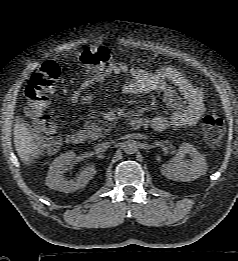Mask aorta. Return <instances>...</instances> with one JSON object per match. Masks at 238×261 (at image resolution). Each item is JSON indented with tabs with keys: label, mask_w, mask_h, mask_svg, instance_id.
Returning <instances> with one entry per match:
<instances>
[{
	"label": "aorta",
	"mask_w": 238,
	"mask_h": 261,
	"mask_svg": "<svg viewBox=\"0 0 238 261\" xmlns=\"http://www.w3.org/2000/svg\"><path fill=\"white\" fill-rule=\"evenodd\" d=\"M123 151L126 154H134L138 151V145L135 140H127L123 143Z\"/></svg>",
	"instance_id": "obj_1"
}]
</instances>
